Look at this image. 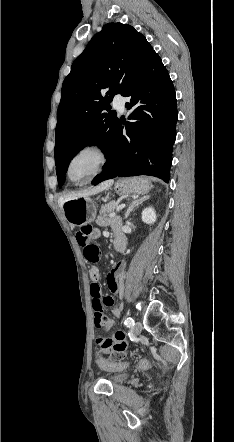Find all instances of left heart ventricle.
<instances>
[{"label":"left heart ventricle","instance_id":"left-heart-ventricle-1","mask_svg":"<svg viewBox=\"0 0 234 442\" xmlns=\"http://www.w3.org/2000/svg\"><path fill=\"white\" fill-rule=\"evenodd\" d=\"M98 156L92 151L82 152L77 155L70 166V176L74 181H83L95 170Z\"/></svg>","mask_w":234,"mask_h":442}]
</instances>
